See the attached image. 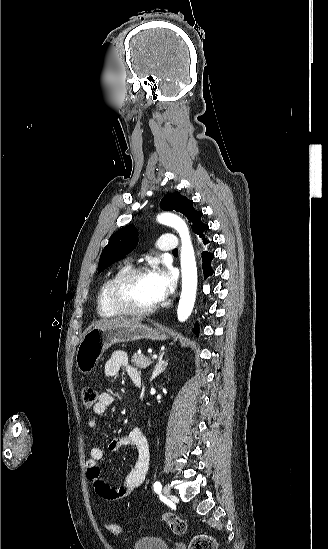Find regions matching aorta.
<instances>
[{
	"mask_svg": "<svg viewBox=\"0 0 328 549\" xmlns=\"http://www.w3.org/2000/svg\"><path fill=\"white\" fill-rule=\"evenodd\" d=\"M158 222L173 227L181 237L182 292L177 309L180 322L186 321L194 307L197 290V267L190 234L186 223L177 215L162 213Z\"/></svg>",
	"mask_w": 328,
	"mask_h": 549,
	"instance_id": "762f6f07",
	"label": "aorta"
}]
</instances>
